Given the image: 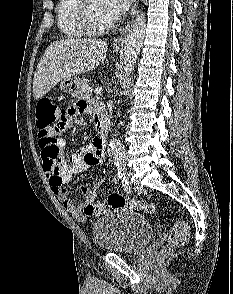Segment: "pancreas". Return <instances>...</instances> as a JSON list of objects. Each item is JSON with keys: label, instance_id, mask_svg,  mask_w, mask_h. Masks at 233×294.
<instances>
[{"label": "pancreas", "instance_id": "cf45deb5", "mask_svg": "<svg viewBox=\"0 0 233 294\" xmlns=\"http://www.w3.org/2000/svg\"><path fill=\"white\" fill-rule=\"evenodd\" d=\"M92 95L93 89L90 87L88 81H84L80 89L79 99H89Z\"/></svg>", "mask_w": 233, "mask_h": 294}]
</instances>
